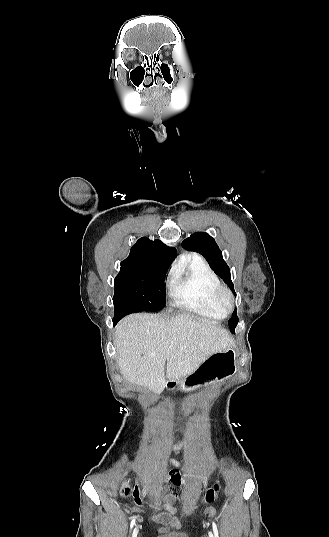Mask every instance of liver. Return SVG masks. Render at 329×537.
Instances as JSON below:
<instances>
[{"mask_svg": "<svg viewBox=\"0 0 329 537\" xmlns=\"http://www.w3.org/2000/svg\"><path fill=\"white\" fill-rule=\"evenodd\" d=\"M114 345L123 378L157 395L164 390L166 378L192 374L210 355L235 343L227 330L209 319L142 313L116 326Z\"/></svg>", "mask_w": 329, "mask_h": 537, "instance_id": "1", "label": "liver"}]
</instances>
